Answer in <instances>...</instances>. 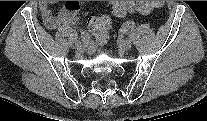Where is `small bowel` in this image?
Segmentation results:
<instances>
[{
  "instance_id": "obj_1",
  "label": "small bowel",
  "mask_w": 207,
  "mask_h": 121,
  "mask_svg": "<svg viewBox=\"0 0 207 121\" xmlns=\"http://www.w3.org/2000/svg\"><path fill=\"white\" fill-rule=\"evenodd\" d=\"M51 3V1H42L39 5L42 20L48 29L54 30L61 26L72 27L77 25L80 8L77 1H66L57 14H54L50 9Z\"/></svg>"
}]
</instances>
